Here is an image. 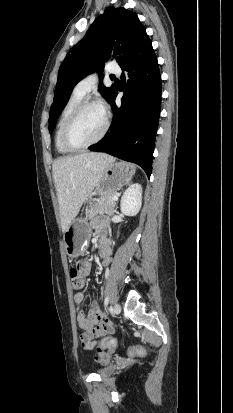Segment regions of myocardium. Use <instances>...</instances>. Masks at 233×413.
<instances>
[{
  "label": "myocardium",
  "instance_id": "1",
  "mask_svg": "<svg viewBox=\"0 0 233 413\" xmlns=\"http://www.w3.org/2000/svg\"><path fill=\"white\" fill-rule=\"evenodd\" d=\"M90 106H99V103H97L94 100H82L72 110V112L69 114V116L67 117V119L65 120V122L62 126L61 133H60L61 144L66 150H68L70 152L80 151V150L89 148V147L97 144L98 142H100L105 137V135L108 132L110 121H109L108 116L105 114L104 126H103V129H102L101 133L98 135L97 138H95L91 142L83 144V145H75L70 141L69 131H70L71 126L73 125V123L76 120V118L78 117V115L85 108L90 107Z\"/></svg>",
  "mask_w": 233,
  "mask_h": 413
}]
</instances>
